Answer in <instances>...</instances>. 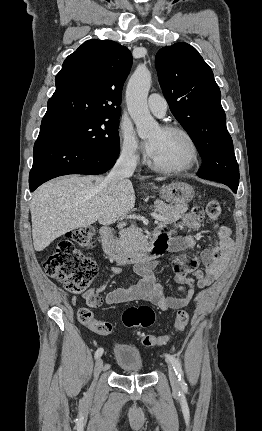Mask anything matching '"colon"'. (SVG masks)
<instances>
[{
  "instance_id": "5ec220e1",
  "label": "colon",
  "mask_w": 262,
  "mask_h": 431,
  "mask_svg": "<svg viewBox=\"0 0 262 431\" xmlns=\"http://www.w3.org/2000/svg\"><path fill=\"white\" fill-rule=\"evenodd\" d=\"M221 205L211 199L205 206V213L209 220L217 221L221 216ZM95 230L92 227H83L68 233L57 246L54 252L50 253L43 261L45 273L52 279L63 284L66 291L79 293L86 290L98 273V266L95 261L81 253L75 245L83 248L93 246ZM195 285L194 280H188L180 286L179 290L186 293ZM80 323L95 329L102 335L112 332V326L95 318L91 311L81 309L78 314ZM155 314L148 305L133 306L127 308L122 314V323L128 329H138L139 327L151 326L154 323ZM189 322L187 311H178L174 327L176 331H182ZM141 340L144 346L151 347L162 344L164 338L150 335H142Z\"/></svg>"
}]
</instances>
